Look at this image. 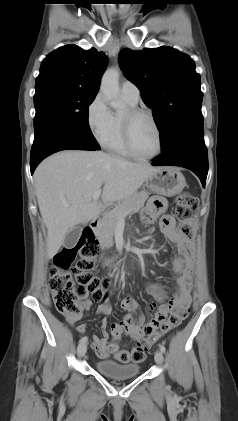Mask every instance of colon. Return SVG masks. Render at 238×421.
Returning a JSON list of instances; mask_svg holds the SVG:
<instances>
[{
  "label": "colon",
  "instance_id": "1",
  "mask_svg": "<svg viewBox=\"0 0 238 421\" xmlns=\"http://www.w3.org/2000/svg\"><path fill=\"white\" fill-rule=\"evenodd\" d=\"M197 206V199L189 193H183L176 199L179 231L189 241L195 234L194 221ZM98 252L99 248L94 236L84 233L75 246L62 248L53 258L50 276L51 294L57 310L68 318L83 313L88 295L97 302H102L106 297L109 281L94 272ZM187 314V309H173L157 333L143 337L131 350L119 349L115 353L116 360L120 363L142 362L147 349L162 334L180 326Z\"/></svg>",
  "mask_w": 238,
  "mask_h": 421
}]
</instances>
